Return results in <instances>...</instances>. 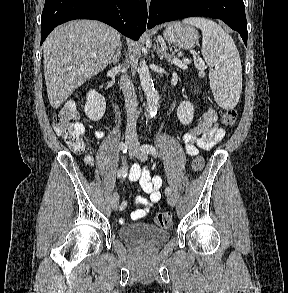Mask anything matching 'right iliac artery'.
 <instances>
[{"label": "right iliac artery", "mask_w": 288, "mask_h": 293, "mask_svg": "<svg viewBox=\"0 0 288 293\" xmlns=\"http://www.w3.org/2000/svg\"><path fill=\"white\" fill-rule=\"evenodd\" d=\"M119 147H120V149H121L124 153L127 152V148H126V146H125L124 143H120ZM123 174H127V167H126V166H123V167L118 171V173H117V177H118V178H121Z\"/></svg>", "instance_id": "obj_1"}]
</instances>
